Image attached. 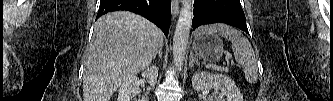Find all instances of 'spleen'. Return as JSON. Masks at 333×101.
<instances>
[{
    "mask_svg": "<svg viewBox=\"0 0 333 101\" xmlns=\"http://www.w3.org/2000/svg\"><path fill=\"white\" fill-rule=\"evenodd\" d=\"M203 32L218 33L231 41L235 60L243 67L246 81L251 84L257 82V61L253 48L246 37L236 29L224 24H212L200 27L195 32V35Z\"/></svg>",
    "mask_w": 333,
    "mask_h": 101,
    "instance_id": "obj_1",
    "label": "spleen"
}]
</instances>
